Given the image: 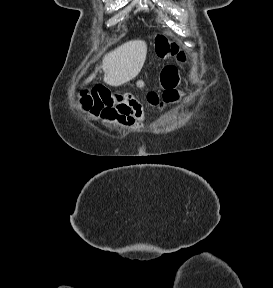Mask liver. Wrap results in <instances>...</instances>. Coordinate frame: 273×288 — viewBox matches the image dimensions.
<instances>
[{"label": "liver", "mask_w": 273, "mask_h": 288, "mask_svg": "<svg viewBox=\"0 0 273 288\" xmlns=\"http://www.w3.org/2000/svg\"><path fill=\"white\" fill-rule=\"evenodd\" d=\"M147 55L145 41L133 40L122 44L106 54L102 60L104 82L110 86H120L134 79L141 71ZM98 71L90 75L85 84L91 82Z\"/></svg>", "instance_id": "1"}]
</instances>
